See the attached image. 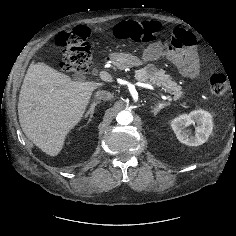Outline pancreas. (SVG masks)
Instances as JSON below:
<instances>
[{"label":"pancreas","mask_w":236,"mask_h":236,"mask_svg":"<svg viewBox=\"0 0 236 236\" xmlns=\"http://www.w3.org/2000/svg\"><path fill=\"white\" fill-rule=\"evenodd\" d=\"M135 78L140 82L162 87L164 91L174 95V100H179L184 97L182 87L172 80L164 70H158L153 64H148L144 68L136 70Z\"/></svg>","instance_id":"pancreas-1"}]
</instances>
